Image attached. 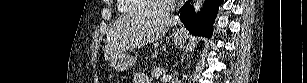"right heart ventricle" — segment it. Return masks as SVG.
<instances>
[{"instance_id": "obj_1", "label": "right heart ventricle", "mask_w": 307, "mask_h": 83, "mask_svg": "<svg viewBox=\"0 0 307 83\" xmlns=\"http://www.w3.org/2000/svg\"><path fill=\"white\" fill-rule=\"evenodd\" d=\"M118 9L122 14L134 15L151 11V1L149 0H119Z\"/></svg>"}]
</instances>
